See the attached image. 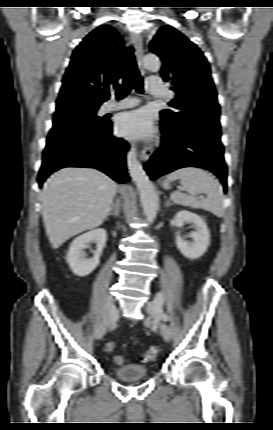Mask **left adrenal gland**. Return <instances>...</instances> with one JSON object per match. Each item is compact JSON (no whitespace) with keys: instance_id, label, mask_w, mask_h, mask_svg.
I'll return each instance as SVG.
<instances>
[{"instance_id":"obj_1","label":"left adrenal gland","mask_w":273,"mask_h":430,"mask_svg":"<svg viewBox=\"0 0 273 430\" xmlns=\"http://www.w3.org/2000/svg\"><path fill=\"white\" fill-rule=\"evenodd\" d=\"M172 204L169 202V201H167L166 203H165V207H169V206H171Z\"/></svg>"}]
</instances>
